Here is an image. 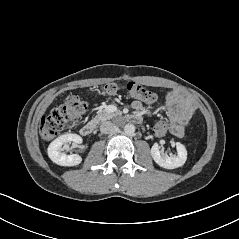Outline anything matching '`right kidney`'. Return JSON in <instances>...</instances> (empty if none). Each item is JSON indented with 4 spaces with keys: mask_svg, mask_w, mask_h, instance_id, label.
I'll use <instances>...</instances> for the list:
<instances>
[{
    "mask_svg": "<svg viewBox=\"0 0 239 239\" xmlns=\"http://www.w3.org/2000/svg\"><path fill=\"white\" fill-rule=\"evenodd\" d=\"M73 147L82 143V138L77 134H64L52 141L48 147V156L56 164L60 166H76L81 163L82 158L78 154L66 155L62 152L64 146L68 147V143H71Z\"/></svg>",
    "mask_w": 239,
    "mask_h": 239,
    "instance_id": "1",
    "label": "right kidney"
}]
</instances>
